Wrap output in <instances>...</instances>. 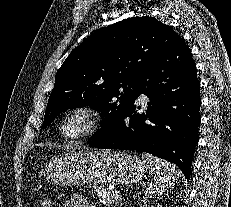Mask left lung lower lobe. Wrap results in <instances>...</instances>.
<instances>
[{
    "label": "left lung lower lobe",
    "mask_w": 231,
    "mask_h": 207,
    "mask_svg": "<svg viewBox=\"0 0 231 207\" xmlns=\"http://www.w3.org/2000/svg\"><path fill=\"white\" fill-rule=\"evenodd\" d=\"M199 88L196 64L179 37L139 77L138 96L150 99L147 112L138 113L134 102L114 133L89 146L151 153L176 164L189 180L199 140Z\"/></svg>",
    "instance_id": "left-lung-lower-lobe-1"
}]
</instances>
